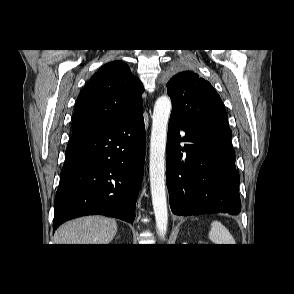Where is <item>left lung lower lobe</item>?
I'll return each instance as SVG.
<instances>
[{
	"mask_svg": "<svg viewBox=\"0 0 294 294\" xmlns=\"http://www.w3.org/2000/svg\"><path fill=\"white\" fill-rule=\"evenodd\" d=\"M180 130L186 132L184 138ZM230 139L229 128L189 125L170 116L166 182L174 214L240 212V177Z\"/></svg>",
	"mask_w": 294,
	"mask_h": 294,
	"instance_id": "1",
	"label": "left lung lower lobe"
}]
</instances>
